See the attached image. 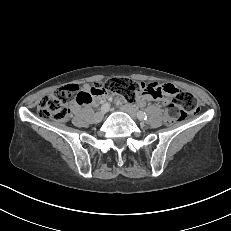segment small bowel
I'll use <instances>...</instances> for the list:
<instances>
[{
    "label": "small bowel",
    "instance_id": "small-bowel-1",
    "mask_svg": "<svg viewBox=\"0 0 231 231\" xmlns=\"http://www.w3.org/2000/svg\"><path fill=\"white\" fill-rule=\"evenodd\" d=\"M156 84L155 87L151 85ZM93 88L85 85L83 91L90 95V99L87 102L82 103L83 105H97L100 99L111 97L107 92H101L96 95H91ZM176 87L172 84H148L145 91L137 98L138 105H144L148 101H159L164 104L168 103L171 97L174 95ZM81 103L76 102L74 109H78Z\"/></svg>",
    "mask_w": 231,
    "mask_h": 231
}]
</instances>
